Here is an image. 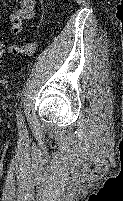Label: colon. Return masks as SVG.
Instances as JSON below:
<instances>
[{
	"label": "colon",
	"instance_id": "1",
	"mask_svg": "<svg viewBox=\"0 0 123 201\" xmlns=\"http://www.w3.org/2000/svg\"><path fill=\"white\" fill-rule=\"evenodd\" d=\"M36 51V43L29 42L23 46L19 45H4L0 44V65H3L2 58L6 53H10L13 56L25 55L30 56Z\"/></svg>",
	"mask_w": 123,
	"mask_h": 201
}]
</instances>
